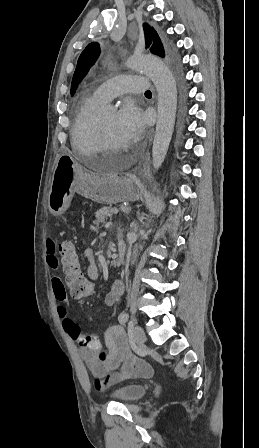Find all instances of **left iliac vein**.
Masks as SVG:
<instances>
[{
	"instance_id": "left-iliac-vein-1",
	"label": "left iliac vein",
	"mask_w": 259,
	"mask_h": 448,
	"mask_svg": "<svg viewBox=\"0 0 259 448\" xmlns=\"http://www.w3.org/2000/svg\"><path fill=\"white\" fill-rule=\"evenodd\" d=\"M133 339L137 345H142L146 341V334L140 326H135L133 329Z\"/></svg>"
}]
</instances>
